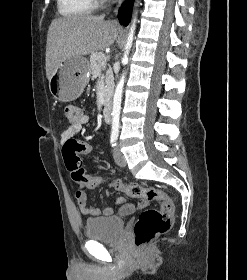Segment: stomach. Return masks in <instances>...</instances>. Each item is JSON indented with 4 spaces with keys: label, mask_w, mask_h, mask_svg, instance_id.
<instances>
[{
    "label": "stomach",
    "mask_w": 247,
    "mask_h": 280,
    "mask_svg": "<svg viewBox=\"0 0 247 280\" xmlns=\"http://www.w3.org/2000/svg\"><path fill=\"white\" fill-rule=\"evenodd\" d=\"M90 73V65L86 58H68L60 64L49 80L51 94L62 102L76 100L89 82Z\"/></svg>",
    "instance_id": "1"
}]
</instances>
